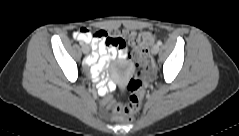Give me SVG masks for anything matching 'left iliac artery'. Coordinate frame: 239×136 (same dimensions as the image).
I'll return each instance as SVG.
<instances>
[{"instance_id": "1", "label": "left iliac artery", "mask_w": 239, "mask_h": 136, "mask_svg": "<svg viewBox=\"0 0 239 136\" xmlns=\"http://www.w3.org/2000/svg\"><path fill=\"white\" fill-rule=\"evenodd\" d=\"M157 45H159V46L162 45V41H158Z\"/></svg>"}]
</instances>
